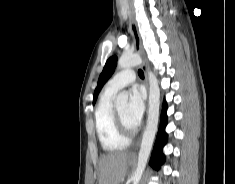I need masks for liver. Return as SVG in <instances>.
I'll return each mask as SVG.
<instances>
[{
  "label": "liver",
  "mask_w": 235,
  "mask_h": 184,
  "mask_svg": "<svg viewBox=\"0 0 235 184\" xmlns=\"http://www.w3.org/2000/svg\"><path fill=\"white\" fill-rule=\"evenodd\" d=\"M128 154L126 152H110L102 154L99 160V184H120L127 172Z\"/></svg>",
  "instance_id": "obj_1"
}]
</instances>
